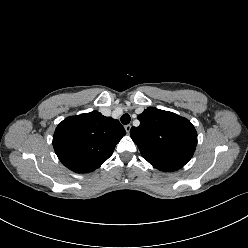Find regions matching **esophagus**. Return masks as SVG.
<instances>
[{
	"label": "esophagus",
	"mask_w": 248,
	"mask_h": 248,
	"mask_svg": "<svg viewBox=\"0 0 248 248\" xmlns=\"http://www.w3.org/2000/svg\"><path fill=\"white\" fill-rule=\"evenodd\" d=\"M124 128H125L126 132L129 133L130 132V129H131V125L130 124L125 125Z\"/></svg>",
	"instance_id": "34e87169"
}]
</instances>
